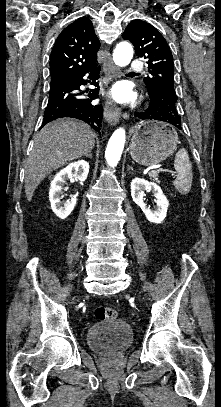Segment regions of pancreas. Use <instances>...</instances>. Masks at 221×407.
<instances>
[{"label": "pancreas", "instance_id": "1", "mask_svg": "<svg viewBox=\"0 0 221 407\" xmlns=\"http://www.w3.org/2000/svg\"><path fill=\"white\" fill-rule=\"evenodd\" d=\"M150 177L153 178V180H155L156 182L159 183V180L157 178V174H151Z\"/></svg>", "mask_w": 221, "mask_h": 407}]
</instances>
